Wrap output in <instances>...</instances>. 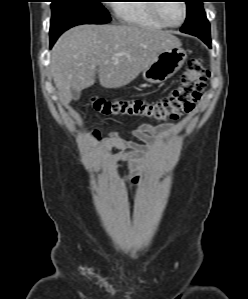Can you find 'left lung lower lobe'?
<instances>
[{"mask_svg": "<svg viewBox=\"0 0 248 299\" xmlns=\"http://www.w3.org/2000/svg\"><path fill=\"white\" fill-rule=\"evenodd\" d=\"M199 38L204 40V42L210 47L211 46V39L207 40L204 35L200 34Z\"/></svg>", "mask_w": 248, "mask_h": 299, "instance_id": "left-lung-lower-lobe-1", "label": "left lung lower lobe"}]
</instances>
